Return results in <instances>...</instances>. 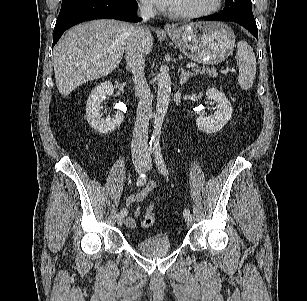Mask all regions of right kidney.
<instances>
[{"label": "right kidney", "instance_id": "obj_1", "mask_svg": "<svg viewBox=\"0 0 307 301\" xmlns=\"http://www.w3.org/2000/svg\"><path fill=\"white\" fill-rule=\"evenodd\" d=\"M113 85L105 81L97 85L88 97L86 104V117L89 125L101 134H107L117 129L122 121L123 114L117 112L113 118L104 120L100 113L101 103L106 95L113 94Z\"/></svg>", "mask_w": 307, "mask_h": 301}]
</instances>
